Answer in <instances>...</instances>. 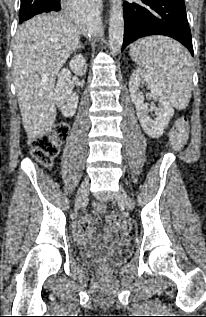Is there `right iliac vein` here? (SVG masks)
Masks as SVG:
<instances>
[{
    "label": "right iliac vein",
    "instance_id": "right-iliac-vein-1",
    "mask_svg": "<svg viewBox=\"0 0 206 317\" xmlns=\"http://www.w3.org/2000/svg\"><path fill=\"white\" fill-rule=\"evenodd\" d=\"M89 193V182L88 181H84L77 193V197H76V202H75V207L76 209H79L82 202L87 198Z\"/></svg>",
    "mask_w": 206,
    "mask_h": 317
}]
</instances>
